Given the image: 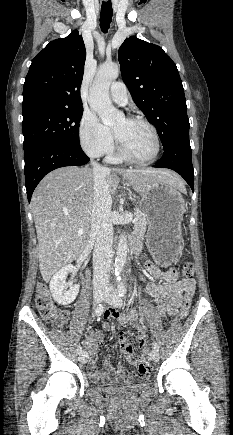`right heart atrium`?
<instances>
[{
    "mask_svg": "<svg viewBox=\"0 0 233 435\" xmlns=\"http://www.w3.org/2000/svg\"><path fill=\"white\" fill-rule=\"evenodd\" d=\"M78 138L82 149L93 157L108 154L114 146L111 130L91 111L81 117Z\"/></svg>",
    "mask_w": 233,
    "mask_h": 435,
    "instance_id": "1",
    "label": "right heart atrium"
}]
</instances>
